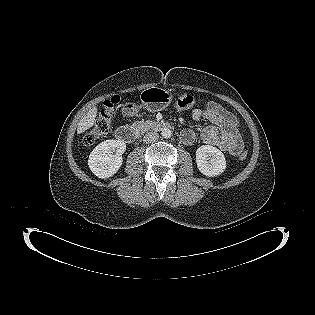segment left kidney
Masks as SVG:
<instances>
[{
  "label": "left kidney",
  "mask_w": 315,
  "mask_h": 315,
  "mask_svg": "<svg viewBox=\"0 0 315 315\" xmlns=\"http://www.w3.org/2000/svg\"><path fill=\"white\" fill-rule=\"evenodd\" d=\"M196 163L199 171L208 177H215L226 169L224 154L211 145H203L196 150Z\"/></svg>",
  "instance_id": "left-kidney-1"
}]
</instances>
